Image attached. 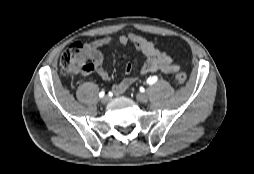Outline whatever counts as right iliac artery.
<instances>
[{
  "label": "right iliac artery",
  "mask_w": 254,
  "mask_h": 174,
  "mask_svg": "<svg viewBox=\"0 0 254 174\" xmlns=\"http://www.w3.org/2000/svg\"><path fill=\"white\" fill-rule=\"evenodd\" d=\"M104 94H105V93H104L103 91H102V92H100V93H99V97H101V98H102V97L104 96Z\"/></svg>",
  "instance_id": "right-iliac-artery-1"
}]
</instances>
